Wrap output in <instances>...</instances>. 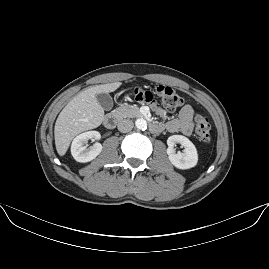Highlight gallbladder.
I'll list each match as a JSON object with an SVG mask.
<instances>
[{
    "instance_id": "bac80fb5",
    "label": "gallbladder",
    "mask_w": 269,
    "mask_h": 269,
    "mask_svg": "<svg viewBox=\"0 0 269 269\" xmlns=\"http://www.w3.org/2000/svg\"><path fill=\"white\" fill-rule=\"evenodd\" d=\"M96 99L104 110L109 111L112 109L113 100L109 94L107 93L98 94L96 95Z\"/></svg>"
}]
</instances>
